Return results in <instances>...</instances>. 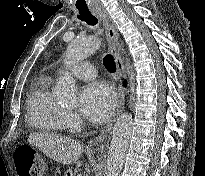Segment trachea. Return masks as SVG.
<instances>
[{"label": "trachea", "mask_w": 205, "mask_h": 176, "mask_svg": "<svg viewBox=\"0 0 205 176\" xmlns=\"http://www.w3.org/2000/svg\"><path fill=\"white\" fill-rule=\"evenodd\" d=\"M78 19L86 22L88 25L91 26L96 25L98 22L95 16L89 11V9L79 10ZM103 63L110 72L114 73L116 71V65L112 55L110 54L106 55L103 58Z\"/></svg>", "instance_id": "3493384b"}]
</instances>
